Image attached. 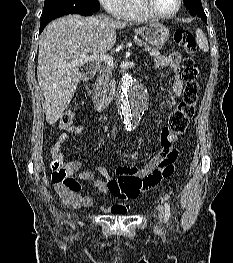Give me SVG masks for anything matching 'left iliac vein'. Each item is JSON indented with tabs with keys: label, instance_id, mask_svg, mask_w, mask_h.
Returning a JSON list of instances; mask_svg holds the SVG:
<instances>
[{
	"label": "left iliac vein",
	"instance_id": "4c4485c4",
	"mask_svg": "<svg viewBox=\"0 0 233 263\" xmlns=\"http://www.w3.org/2000/svg\"><path fill=\"white\" fill-rule=\"evenodd\" d=\"M163 218V209L161 207H158V219L161 221Z\"/></svg>",
	"mask_w": 233,
	"mask_h": 263
}]
</instances>
